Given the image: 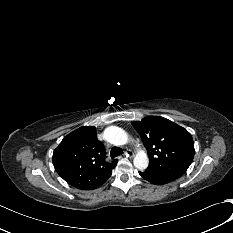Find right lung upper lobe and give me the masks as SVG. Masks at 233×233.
Instances as JSON below:
<instances>
[{"label":"right lung upper lobe","instance_id":"1","mask_svg":"<svg viewBox=\"0 0 233 233\" xmlns=\"http://www.w3.org/2000/svg\"><path fill=\"white\" fill-rule=\"evenodd\" d=\"M105 148L93 126H83L66 135L53 152L57 173L71 186L92 190L104 184L117 165L105 161Z\"/></svg>","mask_w":233,"mask_h":233}]
</instances>
